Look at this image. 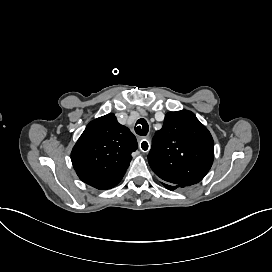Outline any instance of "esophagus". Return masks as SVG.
<instances>
[{
	"label": "esophagus",
	"mask_w": 272,
	"mask_h": 272,
	"mask_svg": "<svg viewBox=\"0 0 272 272\" xmlns=\"http://www.w3.org/2000/svg\"><path fill=\"white\" fill-rule=\"evenodd\" d=\"M139 148L142 152H148L150 150V141L148 139H142L139 142Z\"/></svg>",
	"instance_id": "34e87169"
}]
</instances>
